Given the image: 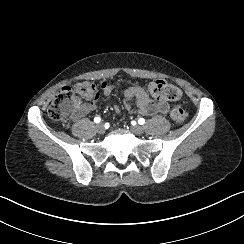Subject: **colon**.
I'll return each instance as SVG.
<instances>
[{
	"instance_id": "obj_1",
	"label": "colon",
	"mask_w": 244,
	"mask_h": 244,
	"mask_svg": "<svg viewBox=\"0 0 244 244\" xmlns=\"http://www.w3.org/2000/svg\"><path fill=\"white\" fill-rule=\"evenodd\" d=\"M141 86L157 99L178 101L182 97V91L179 87L164 80H152L143 83ZM98 95L97 85L90 81L65 86L48 108V115L57 122H64L81 104L95 101ZM169 115L173 122L180 124L185 121L187 114L181 106H173Z\"/></svg>"
}]
</instances>
